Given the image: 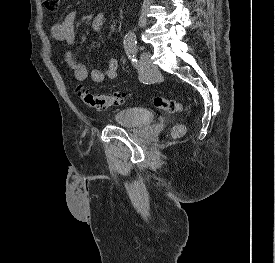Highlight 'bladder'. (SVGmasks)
I'll return each mask as SVG.
<instances>
[{"label":"bladder","mask_w":275,"mask_h":263,"mask_svg":"<svg viewBox=\"0 0 275 263\" xmlns=\"http://www.w3.org/2000/svg\"><path fill=\"white\" fill-rule=\"evenodd\" d=\"M154 117L153 112L143 108L122 109L114 114L117 124L132 129L151 124Z\"/></svg>","instance_id":"31cf9c89"}]
</instances>
